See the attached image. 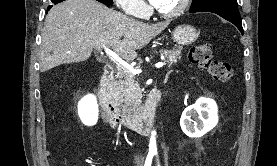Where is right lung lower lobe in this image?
<instances>
[{
  "label": "right lung lower lobe",
  "instance_id": "1",
  "mask_svg": "<svg viewBox=\"0 0 277 166\" xmlns=\"http://www.w3.org/2000/svg\"><path fill=\"white\" fill-rule=\"evenodd\" d=\"M64 0H51V2L53 4H57V3H60V2H63ZM105 5H112V1L111 0H97ZM52 7V5H50L48 8H47V11L50 10V8Z\"/></svg>",
  "mask_w": 277,
  "mask_h": 166
}]
</instances>
